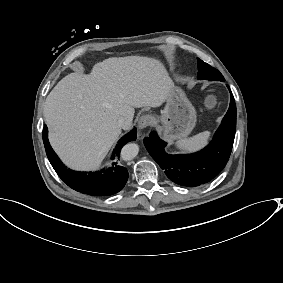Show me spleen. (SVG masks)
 <instances>
[{
  "mask_svg": "<svg viewBox=\"0 0 283 283\" xmlns=\"http://www.w3.org/2000/svg\"><path fill=\"white\" fill-rule=\"evenodd\" d=\"M208 136H209L208 132H201L194 136L180 140L179 144L187 149H194L196 147L203 145L206 139L208 138Z\"/></svg>",
  "mask_w": 283,
  "mask_h": 283,
  "instance_id": "1",
  "label": "spleen"
}]
</instances>
